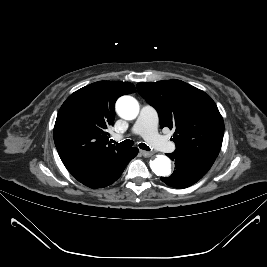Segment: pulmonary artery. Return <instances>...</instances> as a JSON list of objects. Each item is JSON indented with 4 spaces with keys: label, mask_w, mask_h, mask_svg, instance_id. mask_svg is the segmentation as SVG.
Returning <instances> with one entry per match:
<instances>
[{
    "label": "pulmonary artery",
    "mask_w": 267,
    "mask_h": 267,
    "mask_svg": "<svg viewBox=\"0 0 267 267\" xmlns=\"http://www.w3.org/2000/svg\"><path fill=\"white\" fill-rule=\"evenodd\" d=\"M158 121L157 111L150 105H144L132 127V133L143 136L151 146L160 151L172 152L175 150V145L158 133ZM121 138V135H114L116 140Z\"/></svg>",
    "instance_id": "e3ab8cb5"
}]
</instances>
